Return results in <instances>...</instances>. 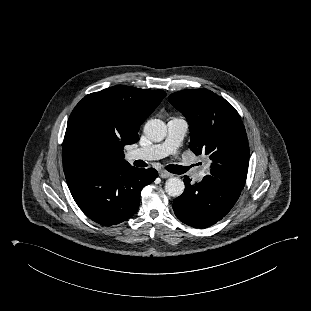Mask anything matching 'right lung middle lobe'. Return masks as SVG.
<instances>
[{"label": "right lung middle lobe", "mask_w": 311, "mask_h": 311, "mask_svg": "<svg viewBox=\"0 0 311 311\" xmlns=\"http://www.w3.org/2000/svg\"><path fill=\"white\" fill-rule=\"evenodd\" d=\"M105 146L104 137L88 119L76 122L69 136L66 153L67 167L77 170L107 163Z\"/></svg>", "instance_id": "1"}]
</instances>
